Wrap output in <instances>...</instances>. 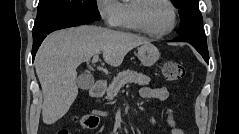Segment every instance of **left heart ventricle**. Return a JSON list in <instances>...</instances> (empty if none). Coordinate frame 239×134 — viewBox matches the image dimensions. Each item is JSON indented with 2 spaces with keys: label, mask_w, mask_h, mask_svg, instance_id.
Masks as SVG:
<instances>
[{
  "label": "left heart ventricle",
  "mask_w": 239,
  "mask_h": 134,
  "mask_svg": "<svg viewBox=\"0 0 239 134\" xmlns=\"http://www.w3.org/2000/svg\"><path fill=\"white\" fill-rule=\"evenodd\" d=\"M144 19L147 26L153 31H164L172 23V14L169 7L162 1L149 2L144 10Z\"/></svg>",
  "instance_id": "left-heart-ventricle-1"
}]
</instances>
